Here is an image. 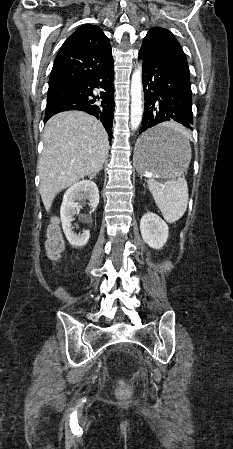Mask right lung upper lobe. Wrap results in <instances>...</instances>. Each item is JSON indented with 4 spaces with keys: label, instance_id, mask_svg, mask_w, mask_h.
Here are the masks:
<instances>
[{
    "label": "right lung upper lobe",
    "instance_id": "1",
    "mask_svg": "<svg viewBox=\"0 0 233 449\" xmlns=\"http://www.w3.org/2000/svg\"><path fill=\"white\" fill-rule=\"evenodd\" d=\"M113 62L109 39L93 25L79 27L62 45L49 79V90L76 86Z\"/></svg>",
    "mask_w": 233,
    "mask_h": 449
}]
</instances>
